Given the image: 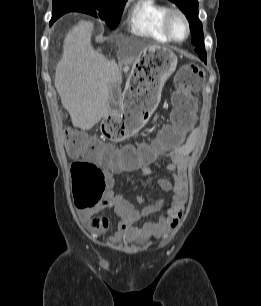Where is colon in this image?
Segmentation results:
<instances>
[{
	"label": "colon",
	"mask_w": 261,
	"mask_h": 306,
	"mask_svg": "<svg viewBox=\"0 0 261 306\" xmlns=\"http://www.w3.org/2000/svg\"><path fill=\"white\" fill-rule=\"evenodd\" d=\"M204 74L196 64L182 66L175 75L176 89L173 94L175 109L172 123L165 125L159 136L151 143L141 144L138 148H124L113 153L112 159H106L107 152L97 146L89 145L76 136L69 134L66 140L67 150L71 154H84L71 165L72 184L75 191L76 207L85 209V202L93 197H101L106 182L102 169L96 160L110 165H133L153 160L156 153L177 146L183 135L192 125V116L196 107L193 93L200 87ZM129 127L117 119H109L104 124V137L111 141H120L128 135Z\"/></svg>",
	"instance_id": "obj_1"
}]
</instances>
